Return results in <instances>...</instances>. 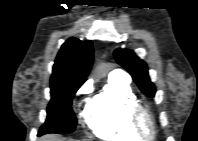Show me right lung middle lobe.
Segmentation results:
<instances>
[{
    "label": "right lung middle lobe",
    "mask_w": 198,
    "mask_h": 141,
    "mask_svg": "<svg viewBox=\"0 0 198 141\" xmlns=\"http://www.w3.org/2000/svg\"><path fill=\"white\" fill-rule=\"evenodd\" d=\"M84 82H51V101L47 119L38 135L47 133L67 134L75 130L77 120L71 108L74 94Z\"/></svg>",
    "instance_id": "obj_1"
}]
</instances>
